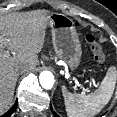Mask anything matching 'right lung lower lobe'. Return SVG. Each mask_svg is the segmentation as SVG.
Segmentation results:
<instances>
[{"mask_svg":"<svg viewBox=\"0 0 117 117\" xmlns=\"http://www.w3.org/2000/svg\"><path fill=\"white\" fill-rule=\"evenodd\" d=\"M17 105L18 102L16 101L15 104L12 106V108L1 117H10L13 114V112L16 110Z\"/></svg>","mask_w":117,"mask_h":117,"instance_id":"right-lung-lower-lobe-1","label":"right lung lower lobe"}]
</instances>
